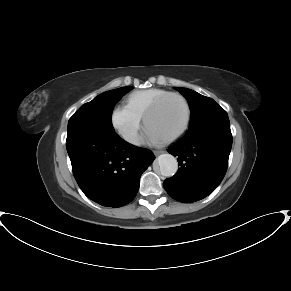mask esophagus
Masks as SVG:
<instances>
[{"label":"esophagus","mask_w":291,"mask_h":291,"mask_svg":"<svg viewBox=\"0 0 291 291\" xmlns=\"http://www.w3.org/2000/svg\"><path fill=\"white\" fill-rule=\"evenodd\" d=\"M162 153H164L163 150H155V151H154V154H155L156 156H158V155H160V154H162Z\"/></svg>","instance_id":"esophagus-1"}]
</instances>
